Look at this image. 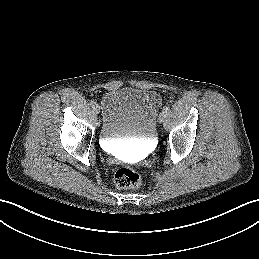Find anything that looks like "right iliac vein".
<instances>
[{
	"mask_svg": "<svg viewBox=\"0 0 259 259\" xmlns=\"http://www.w3.org/2000/svg\"><path fill=\"white\" fill-rule=\"evenodd\" d=\"M93 111H94L96 114H98V113L100 112L99 106H98V105H95V106L93 107Z\"/></svg>",
	"mask_w": 259,
	"mask_h": 259,
	"instance_id": "right-iliac-vein-1",
	"label": "right iliac vein"
}]
</instances>
